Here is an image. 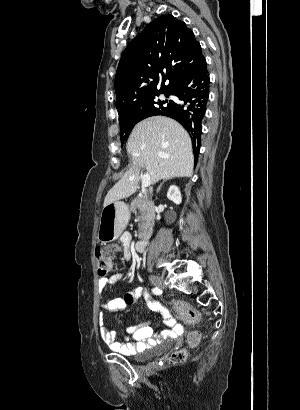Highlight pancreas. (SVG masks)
Here are the masks:
<instances>
[{"mask_svg": "<svg viewBox=\"0 0 300 410\" xmlns=\"http://www.w3.org/2000/svg\"><path fill=\"white\" fill-rule=\"evenodd\" d=\"M130 211L138 214L139 235L146 236L150 234L154 224V213L150 208L147 197L142 195L135 198L131 203Z\"/></svg>", "mask_w": 300, "mask_h": 410, "instance_id": "cf45deb5", "label": "pancreas"}]
</instances>
